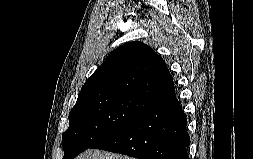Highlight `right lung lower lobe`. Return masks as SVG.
<instances>
[{
    "label": "right lung lower lobe",
    "mask_w": 253,
    "mask_h": 159,
    "mask_svg": "<svg viewBox=\"0 0 253 159\" xmlns=\"http://www.w3.org/2000/svg\"><path fill=\"white\" fill-rule=\"evenodd\" d=\"M186 125L182 107L173 95L92 148L138 159H189Z\"/></svg>",
    "instance_id": "98d812e1"
}]
</instances>
